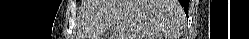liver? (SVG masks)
Wrapping results in <instances>:
<instances>
[{
    "label": "liver",
    "mask_w": 249,
    "mask_h": 39,
    "mask_svg": "<svg viewBox=\"0 0 249 39\" xmlns=\"http://www.w3.org/2000/svg\"><path fill=\"white\" fill-rule=\"evenodd\" d=\"M80 17L81 39H172L184 11L178 0H84Z\"/></svg>",
    "instance_id": "6515ba94"
}]
</instances>
